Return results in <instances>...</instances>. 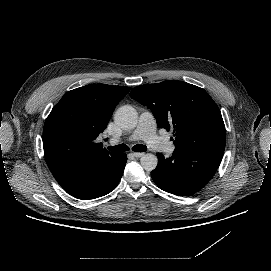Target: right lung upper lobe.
<instances>
[{"mask_svg":"<svg viewBox=\"0 0 271 271\" xmlns=\"http://www.w3.org/2000/svg\"><path fill=\"white\" fill-rule=\"evenodd\" d=\"M130 87L89 84L67 92L54 106L43 129L47 165L59 184L91 162L110 159L95 140Z\"/></svg>","mask_w":271,"mask_h":271,"instance_id":"cb5924a9","label":"right lung upper lobe"}]
</instances>
